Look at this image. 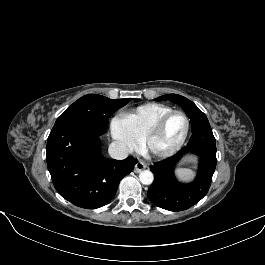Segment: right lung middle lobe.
Listing matches in <instances>:
<instances>
[{"label": "right lung middle lobe", "instance_id": "1", "mask_svg": "<svg viewBox=\"0 0 265 265\" xmlns=\"http://www.w3.org/2000/svg\"><path fill=\"white\" fill-rule=\"evenodd\" d=\"M131 98L109 99L102 95L88 94L75 101L61 114L55 125L66 122H84L107 129L109 117L125 106Z\"/></svg>", "mask_w": 265, "mask_h": 265}]
</instances>
